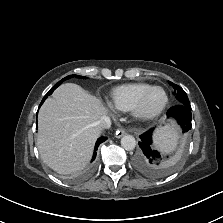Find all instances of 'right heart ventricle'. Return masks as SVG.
Returning <instances> with one entry per match:
<instances>
[{
  "instance_id": "obj_1",
  "label": "right heart ventricle",
  "mask_w": 223,
  "mask_h": 223,
  "mask_svg": "<svg viewBox=\"0 0 223 223\" xmlns=\"http://www.w3.org/2000/svg\"><path fill=\"white\" fill-rule=\"evenodd\" d=\"M151 86L144 82H131L116 86L110 92L109 103L115 110L131 111L138 98Z\"/></svg>"
}]
</instances>
